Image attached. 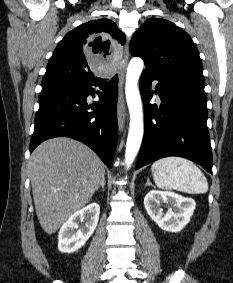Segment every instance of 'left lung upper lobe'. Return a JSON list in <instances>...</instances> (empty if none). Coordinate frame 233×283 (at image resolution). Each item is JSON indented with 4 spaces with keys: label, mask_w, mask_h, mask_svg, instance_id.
Returning <instances> with one entry per match:
<instances>
[{
    "label": "left lung upper lobe",
    "mask_w": 233,
    "mask_h": 283,
    "mask_svg": "<svg viewBox=\"0 0 233 283\" xmlns=\"http://www.w3.org/2000/svg\"><path fill=\"white\" fill-rule=\"evenodd\" d=\"M130 52L144 60L145 71L204 82L203 66L195 43L168 20L148 19L133 35Z\"/></svg>",
    "instance_id": "obj_1"
}]
</instances>
